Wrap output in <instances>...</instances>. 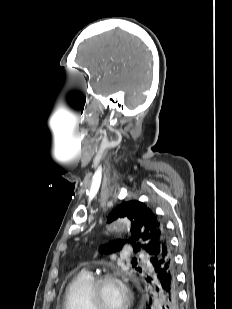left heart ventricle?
I'll return each instance as SVG.
<instances>
[{"label": "left heart ventricle", "mask_w": 232, "mask_h": 309, "mask_svg": "<svg viewBox=\"0 0 232 309\" xmlns=\"http://www.w3.org/2000/svg\"><path fill=\"white\" fill-rule=\"evenodd\" d=\"M127 294L124 287L115 281L105 283L100 290V304L103 309H124Z\"/></svg>", "instance_id": "obj_1"}]
</instances>
